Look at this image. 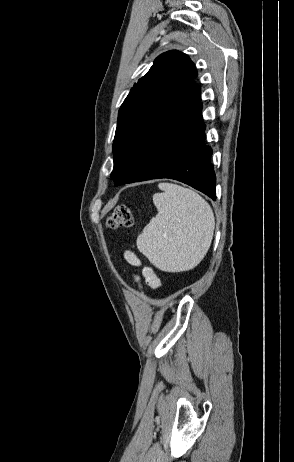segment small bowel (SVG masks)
Instances as JSON below:
<instances>
[{"label":"small bowel","instance_id":"c3829d8e","mask_svg":"<svg viewBox=\"0 0 294 462\" xmlns=\"http://www.w3.org/2000/svg\"><path fill=\"white\" fill-rule=\"evenodd\" d=\"M125 258L130 264L134 266L140 265V261L137 258V256L130 251H126ZM142 276L144 278L146 285L150 287L151 289L156 290L161 286V281L152 268L150 267L143 268ZM135 279L138 283H140V279L138 276H136ZM139 285L140 287H142L141 284Z\"/></svg>","mask_w":294,"mask_h":462}]
</instances>
